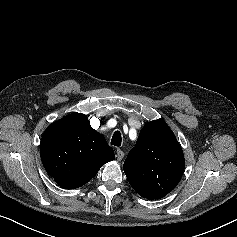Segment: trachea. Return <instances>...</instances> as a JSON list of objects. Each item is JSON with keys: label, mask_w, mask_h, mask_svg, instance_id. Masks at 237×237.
<instances>
[{"label": "trachea", "mask_w": 237, "mask_h": 237, "mask_svg": "<svg viewBox=\"0 0 237 237\" xmlns=\"http://www.w3.org/2000/svg\"><path fill=\"white\" fill-rule=\"evenodd\" d=\"M121 140V133L119 131H115L111 139V144L119 147L121 146Z\"/></svg>", "instance_id": "1"}]
</instances>
